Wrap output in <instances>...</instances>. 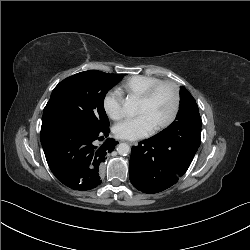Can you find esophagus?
I'll return each instance as SVG.
<instances>
[{"label":"esophagus","mask_w":250,"mask_h":250,"mask_svg":"<svg viewBox=\"0 0 250 250\" xmlns=\"http://www.w3.org/2000/svg\"><path fill=\"white\" fill-rule=\"evenodd\" d=\"M128 144L131 145V146H132V145H137L136 142H128Z\"/></svg>","instance_id":"34e87169"}]
</instances>
